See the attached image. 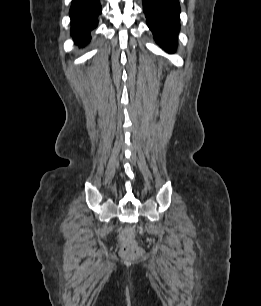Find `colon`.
<instances>
[{"label":"colon","mask_w":261,"mask_h":306,"mask_svg":"<svg viewBox=\"0 0 261 306\" xmlns=\"http://www.w3.org/2000/svg\"><path fill=\"white\" fill-rule=\"evenodd\" d=\"M121 254L124 257H135L140 254L141 250L135 238L132 228H125L120 233Z\"/></svg>","instance_id":"1"}]
</instances>
